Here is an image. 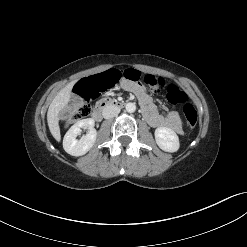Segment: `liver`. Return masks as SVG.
Here are the masks:
<instances>
[{
	"label": "liver",
	"mask_w": 247,
	"mask_h": 247,
	"mask_svg": "<svg viewBox=\"0 0 247 247\" xmlns=\"http://www.w3.org/2000/svg\"><path fill=\"white\" fill-rule=\"evenodd\" d=\"M75 84V81L68 83L64 88H62L55 98L52 100L48 112H47V122L49 130L56 141L61 140L60 127H59V113L63 110L68 102L70 101L71 90Z\"/></svg>",
	"instance_id": "obj_1"
}]
</instances>
